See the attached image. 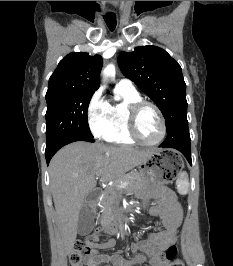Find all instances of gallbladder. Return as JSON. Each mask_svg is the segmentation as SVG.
I'll list each match as a JSON object with an SVG mask.
<instances>
[{
  "instance_id": "gallbladder-1",
  "label": "gallbladder",
  "mask_w": 233,
  "mask_h": 266,
  "mask_svg": "<svg viewBox=\"0 0 233 266\" xmlns=\"http://www.w3.org/2000/svg\"><path fill=\"white\" fill-rule=\"evenodd\" d=\"M94 225V215L89 206L85 203L80 210L77 233L80 236L88 235L94 229Z\"/></svg>"
}]
</instances>
